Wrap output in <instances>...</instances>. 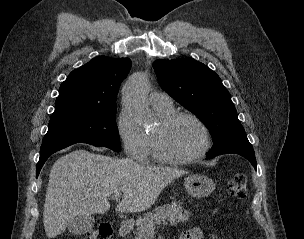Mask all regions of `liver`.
I'll return each mask as SVG.
<instances>
[{
	"label": "liver",
	"instance_id": "obj_1",
	"mask_svg": "<svg viewBox=\"0 0 304 239\" xmlns=\"http://www.w3.org/2000/svg\"><path fill=\"white\" fill-rule=\"evenodd\" d=\"M186 171L145 166L79 149L59 158L52 166L46 191L43 224L48 238L63 233L77 216L104 214L108 198L123 193L117 211L149 209L161 191Z\"/></svg>",
	"mask_w": 304,
	"mask_h": 239
}]
</instances>
